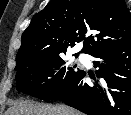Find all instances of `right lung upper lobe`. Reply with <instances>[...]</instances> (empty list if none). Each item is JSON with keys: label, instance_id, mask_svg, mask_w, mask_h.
Listing matches in <instances>:
<instances>
[{"label": "right lung upper lobe", "instance_id": "right-lung-upper-lobe-1", "mask_svg": "<svg viewBox=\"0 0 131 115\" xmlns=\"http://www.w3.org/2000/svg\"><path fill=\"white\" fill-rule=\"evenodd\" d=\"M84 40L82 53L131 44V16L123 0H51L23 32L15 70Z\"/></svg>", "mask_w": 131, "mask_h": 115}]
</instances>
